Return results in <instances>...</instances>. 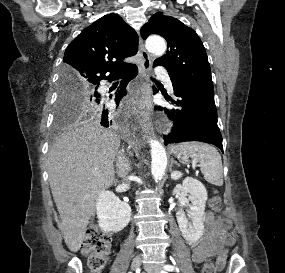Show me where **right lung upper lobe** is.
<instances>
[{
  "label": "right lung upper lobe",
  "mask_w": 285,
  "mask_h": 273,
  "mask_svg": "<svg viewBox=\"0 0 285 273\" xmlns=\"http://www.w3.org/2000/svg\"><path fill=\"white\" fill-rule=\"evenodd\" d=\"M137 51L138 36L134 29L114 13L105 15L83 29L67 46L62 73L95 86L132 65L122 60Z\"/></svg>",
  "instance_id": "cb5924a9"
}]
</instances>
